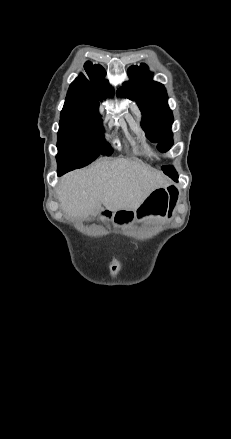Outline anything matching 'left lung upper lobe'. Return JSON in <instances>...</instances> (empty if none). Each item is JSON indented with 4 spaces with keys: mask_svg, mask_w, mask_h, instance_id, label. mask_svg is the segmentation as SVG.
Wrapping results in <instances>:
<instances>
[{
    "mask_svg": "<svg viewBox=\"0 0 231 439\" xmlns=\"http://www.w3.org/2000/svg\"><path fill=\"white\" fill-rule=\"evenodd\" d=\"M152 75L144 63L139 67L131 66L128 69L130 80L123 84L121 94L137 102L143 116L141 126L147 138L152 142H158V149L165 152L173 144V115L167 103L165 87L153 81ZM162 169L171 178H177L172 166H163Z\"/></svg>",
    "mask_w": 231,
    "mask_h": 439,
    "instance_id": "1",
    "label": "left lung upper lobe"
}]
</instances>
